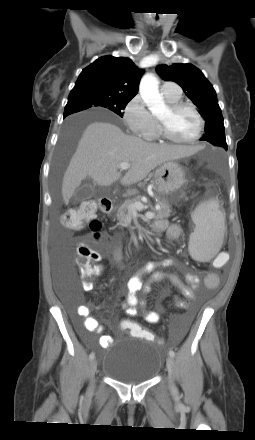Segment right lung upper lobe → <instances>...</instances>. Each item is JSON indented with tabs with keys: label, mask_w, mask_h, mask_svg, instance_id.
I'll return each instance as SVG.
<instances>
[{
	"label": "right lung upper lobe",
	"mask_w": 255,
	"mask_h": 440,
	"mask_svg": "<svg viewBox=\"0 0 255 440\" xmlns=\"http://www.w3.org/2000/svg\"><path fill=\"white\" fill-rule=\"evenodd\" d=\"M143 73L129 58L103 56L83 69L71 93L96 91L133 98Z\"/></svg>",
	"instance_id": "cb5924a9"
}]
</instances>
